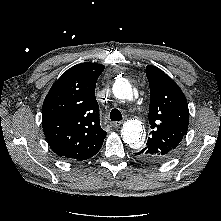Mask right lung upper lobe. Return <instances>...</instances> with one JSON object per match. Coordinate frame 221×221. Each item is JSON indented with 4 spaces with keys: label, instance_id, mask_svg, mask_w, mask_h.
I'll return each instance as SVG.
<instances>
[{
    "label": "right lung upper lobe",
    "instance_id": "right-lung-upper-lobe-1",
    "mask_svg": "<svg viewBox=\"0 0 221 221\" xmlns=\"http://www.w3.org/2000/svg\"><path fill=\"white\" fill-rule=\"evenodd\" d=\"M105 66L80 63L51 87L42 107V125L51 149L60 157L85 160L101 149L106 132L100 127L96 81Z\"/></svg>",
    "mask_w": 221,
    "mask_h": 221
}]
</instances>
